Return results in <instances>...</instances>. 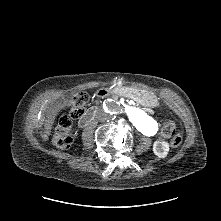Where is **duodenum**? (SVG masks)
Instances as JSON below:
<instances>
[{
    "label": "duodenum",
    "mask_w": 221,
    "mask_h": 221,
    "mask_svg": "<svg viewBox=\"0 0 221 221\" xmlns=\"http://www.w3.org/2000/svg\"><path fill=\"white\" fill-rule=\"evenodd\" d=\"M116 94L118 95H127L131 93V90L126 87L118 88L115 90ZM95 95L100 100H106L110 97L111 92L106 87H100L96 90ZM99 111L98 107H91L89 108L84 115L79 120V125L84 128L86 127L97 115Z\"/></svg>",
    "instance_id": "410a0bca"
}]
</instances>
